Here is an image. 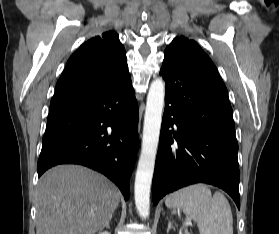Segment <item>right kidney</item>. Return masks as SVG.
<instances>
[{
  "mask_svg": "<svg viewBox=\"0 0 279 234\" xmlns=\"http://www.w3.org/2000/svg\"><path fill=\"white\" fill-rule=\"evenodd\" d=\"M99 234H111V233L108 231H103V232H100Z\"/></svg>",
  "mask_w": 279,
  "mask_h": 234,
  "instance_id": "right-kidney-1",
  "label": "right kidney"
}]
</instances>
